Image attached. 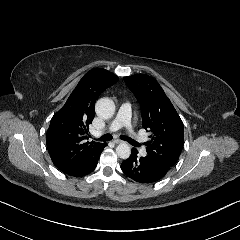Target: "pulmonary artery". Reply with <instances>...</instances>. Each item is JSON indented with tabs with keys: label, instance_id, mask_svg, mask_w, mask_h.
<instances>
[{
	"label": "pulmonary artery",
	"instance_id": "pulmonary-artery-1",
	"mask_svg": "<svg viewBox=\"0 0 240 240\" xmlns=\"http://www.w3.org/2000/svg\"><path fill=\"white\" fill-rule=\"evenodd\" d=\"M130 103L129 102H124L123 103V108L119 110V113L114 120V122L111 124V129L112 130H117L118 128H122L123 126H129L130 125V120L129 117L131 115L130 112ZM131 138L132 139H137L138 138V133L137 132H132L131 133Z\"/></svg>",
	"mask_w": 240,
	"mask_h": 240
}]
</instances>
